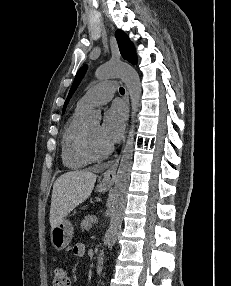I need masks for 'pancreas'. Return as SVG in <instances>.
I'll return each mask as SVG.
<instances>
[{"label": "pancreas", "instance_id": "cf45deb5", "mask_svg": "<svg viewBox=\"0 0 231 286\" xmlns=\"http://www.w3.org/2000/svg\"><path fill=\"white\" fill-rule=\"evenodd\" d=\"M93 215H86L84 217V219L81 221V229L82 231L84 230H89L92 226V219H93Z\"/></svg>", "mask_w": 231, "mask_h": 286}]
</instances>
